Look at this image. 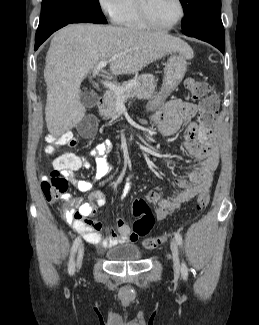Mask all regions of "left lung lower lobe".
Returning <instances> with one entry per match:
<instances>
[{
  "label": "left lung lower lobe",
  "mask_w": 259,
  "mask_h": 325,
  "mask_svg": "<svg viewBox=\"0 0 259 325\" xmlns=\"http://www.w3.org/2000/svg\"><path fill=\"white\" fill-rule=\"evenodd\" d=\"M185 35L206 41L224 52L225 34L221 19L206 21Z\"/></svg>",
  "instance_id": "left-lung-lower-lobe-1"
}]
</instances>
